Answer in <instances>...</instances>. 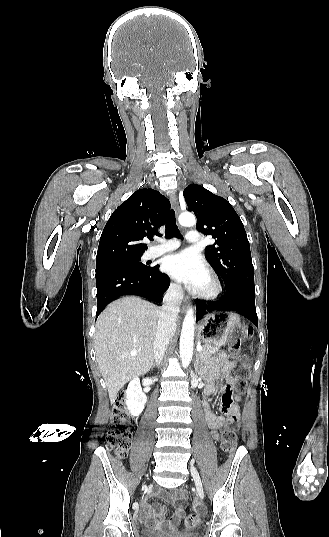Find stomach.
<instances>
[{
  "label": "stomach",
  "mask_w": 329,
  "mask_h": 537,
  "mask_svg": "<svg viewBox=\"0 0 329 537\" xmlns=\"http://www.w3.org/2000/svg\"><path fill=\"white\" fill-rule=\"evenodd\" d=\"M243 330L240 317L237 314L222 312L208 315L199 327L202 342L216 346L225 345L230 336L237 335Z\"/></svg>",
  "instance_id": "0dacf381"
}]
</instances>
